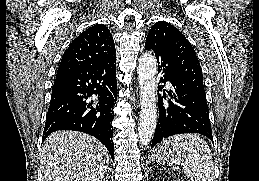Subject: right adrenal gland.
I'll use <instances>...</instances> for the list:
<instances>
[{"label": "right adrenal gland", "instance_id": "obj_1", "mask_svg": "<svg viewBox=\"0 0 259 181\" xmlns=\"http://www.w3.org/2000/svg\"><path fill=\"white\" fill-rule=\"evenodd\" d=\"M103 181H107V177L103 179Z\"/></svg>", "mask_w": 259, "mask_h": 181}]
</instances>
